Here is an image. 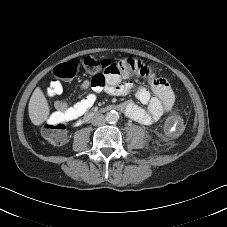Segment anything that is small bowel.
<instances>
[{
    "instance_id": "obj_1",
    "label": "small bowel",
    "mask_w": 227,
    "mask_h": 227,
    "mask_svg": "<svg viewBox=\"0 0 227 227\" xmlns=\"http://www.w3.org/2000/svg\"><path fill=\"white\" fill-rule=\"evenodd\" d=\"M135 74H141L149 80L153 94L146 87L129 80ZM80 87L84 90L92 89L93 92L73 106H69L63 99L61 87L55 88L52 85L48 89L47 98L52 101L54 106V111L49 118L50 122L57 121L62 114H66L67 122L72 125L78 124L83 114L95 104L97 94L102 91H106L110 95L133 94L144 107L132 100H127L120 105V109L129 118L143 124L154 123L163 114L171 111L175 104V95L170 83L164 78L156 77L148 69L137 68L118 76L105 74V82L102 85H95L93 81L86 79L81 82Z\"/></svg>"
}]
</instances>
